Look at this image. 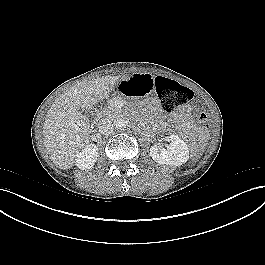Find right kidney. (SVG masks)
<instances>
[{
    "label": "right kidney",
    "mask_w": 265,
    "mask_h": 265,
    "mask_svg": "<svg viewBox=\"0 0 265 265\" xmlns=\"http://www.w3.org/2000/svg\"><path fill=\"white\" fill-rule=\"evenodd\" d=\"M98 150L95 144L87 145L76 155L75 165L82 170L92 168L99 156Z\"/></svg>",
    "instance_id": "1"
}]
</instances>
